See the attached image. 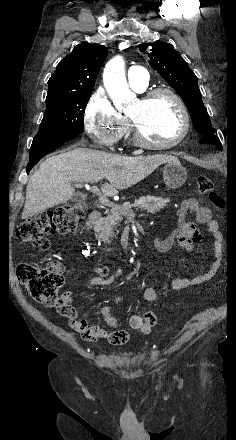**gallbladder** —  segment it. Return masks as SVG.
I'll return each instance as SVG.
<instances>
[{
  "mask_svg": "<svg viewBox=\"0 0 236 440\" xmlns=\"http://www.w3.org/2000/svg\"><path fill=\"white\" fill-rule=\"evenodd\" d=\"M82 198H83V197H82L81 194H75V195L72 197V200L75 201V202H78V201H81Z\"/></svg>",
  "mask_w": 236,
  "mask_h": 440,
  "instance_id": "bac80fb5",
  "label": "gallbladder"
}]
</instances>
